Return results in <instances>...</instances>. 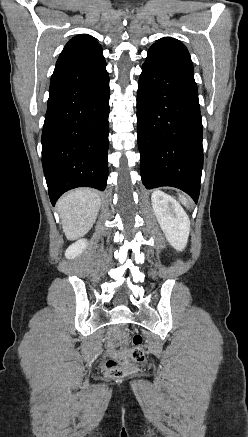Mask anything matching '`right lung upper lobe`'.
<instances>
[{
    "instance_id": "cb5924a9",
    "label": "right lung upper lobe",
    "mask_w": 248,
    "mask_h": 437,
    "mask_svg": "<svg viewBox=\"0 0 248 437\" xmlns=\"http://www.w3.org/2000/svg\"><path fill=\"white\" fill-rule=\"evenodd\" d=\"M104 59L100 44L90 35H77L64 47L57 62L62 64H89Z\"/></svg>"
}]
</instances>
